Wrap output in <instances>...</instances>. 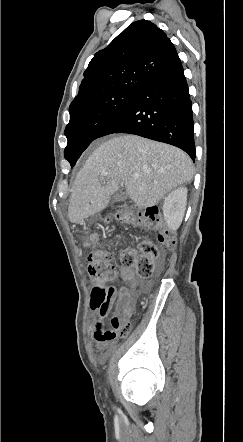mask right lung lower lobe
I'll return each mask as SVG.
<instances>
[{
    "label": "right lung lower lobe",
    "mask_w": 243,
    "mask_h": 442,
    "mask_svg": "<svg viewBox=\"0 0 243 442\" xmlns=\"http://www.w3.org/2000/svg\"><path fill=\"white\" fill-rule=\"evenodd\" d=\"M194 121L188 84L178 55L140 86L97 138L136 134L181 148L195 159Z\"/></svg>",
    "instance_id": "obj_1"
}]
</instances>
